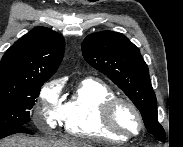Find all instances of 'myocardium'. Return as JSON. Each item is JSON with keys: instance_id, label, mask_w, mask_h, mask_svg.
Returning <instances> with one entry per match:
<instances>
[{"instance_id": "f54148a6", "label": "myocardium", "mask_w": 183, "mask_h": 147, "mask_svg": "<svg viewBox=\"0 0 183 147\" xmlns=\"http://www.w3.org/2000/svg\"><path fill=\"white\" fill-rule=\"evenodd\" d=\"M119 104H125L128 107H130L134 113L136 114L138 120H139V130L136 133H127L121 130L114 121V110ZM100 118L104 125V127L112 132L113 134L130 139L139 136L142 131L144 130L145 123L144 118L139 110V108L129 99H126L124 97H118L114 96L108 100H106L100 108Z\"/></svg>"}]
</instances>
